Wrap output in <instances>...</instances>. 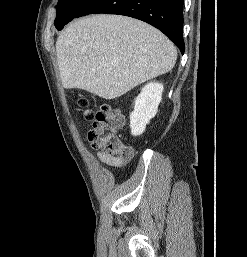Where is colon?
<instances>
[{"instance_id":"colon-1","label":"colon","mask_w":247,"mask_h":257,"mask_svg":"<svg viewBox=\"0 0 247 257\" xmlns=\"http://www.w3.org/2000/svg\"><path fill=\"white\" fill-rule=\"evenodd\" d=\"M78 103L85 108L86 118L92 121V128L88 133L91 146L110 156L129 159L132 156V149L123 144L118 137V132L124 123L123 114L109 105H103L93 112L86 108L87 100L83 98L79 99Z\"/></svg>"}]
</instances>
